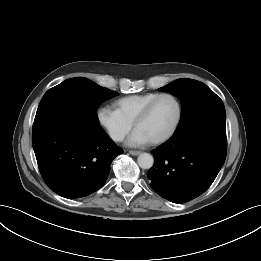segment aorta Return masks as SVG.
I'll return each instance as SVG.
<instances>
[{"label": "aorta", "mask_w": 261, "mask_h": 261, "mask_svg": "<svg viewBox=\"0 0 261 261\" xmlns=\"http://www.w3.org/2000/svg\"><path fill=\"white\" fill-rule=\"evenodd\" d=\"M138 165L142 169H150L154 164V158L149 153H141L137 159Z\"/></svg>", "instance_id": "aorta-1"}]
</instances>
